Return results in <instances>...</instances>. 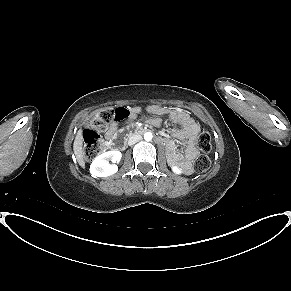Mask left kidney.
I'll return each instance as SVG.
<instances>
[{
  "label": "left kidney",
  "mask_w": 291,
  "mask_h": 291,
  "mask_svg": "<svg viewBox=\"0 0 291 291\" xmlns=\"http://www.w3.org/2000/svg\"><path fill=\"white\" fill-rule=\"evenodd\" d=\"M172 171L176 174H181L182 170L181 168L177 167V166H172Z\"/></svg>",
  "instance_id": "obj_1"
}]
</instances>
